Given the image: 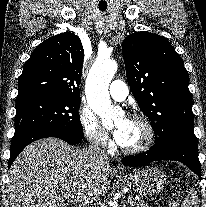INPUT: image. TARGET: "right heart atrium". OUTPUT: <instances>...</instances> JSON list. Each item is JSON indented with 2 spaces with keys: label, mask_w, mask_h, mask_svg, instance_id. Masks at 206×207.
<instances>
[{
  "label": "right heart atrium",
  "mask_w": 206,
  "mask_h": 207,
  "mask_svg": "<svg viewBox=\"0 0 206 207\" xmlns=\"http://www.w3.org/2000/svg\"><path fill=\"white\" fill-rule=\"evenodd\" d=\"M81 129L88 141L98 149H111L112 142L108 132L102 127L96 115L86 106L78 111Z\"/></svg>",
  "instance_id": "d8ad5b80"
}]
</instances>
